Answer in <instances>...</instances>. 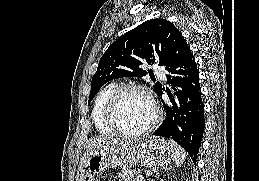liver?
<instances>
[{"label": "liver", "instance_id": "6515ba94", "mask_svg": "<svg viewBox=\"0 0 259 181\" xmlns=\"http://www.w3.org/2000/svg\"><path fill=\"white\" fill-rule=\"evenodd\" d=\"M136 143V141H120L116 139H107V138H99L94 140L88 146V150L91 149H124L132 144Z\"/></svg>", "mask_w": 259, "mask_h": 181}]
</instances>
